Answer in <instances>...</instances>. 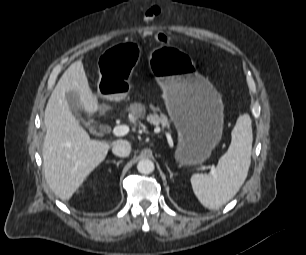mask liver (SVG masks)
I'll return each mask as SVG.
<instances>
[{
  "label": "liver",
  "instance_id": "liver-1",
  "mask_svg": "<svg viewBox=\"0 0 306 255\" xmlns=\"http://www.w3.org/2000/svg\"><path fill=\"white\" fill-rule=\"evenodd\" d=\"M76 93L82 109L93 116L100 109L82 61L71 64L54 88L44 114L46 135L43 165L48 185L61 200H69L107 156L108 142L91 140L73 116L66 93ZM114 144V143H113Z\"/></svg>",
  "mask_w": 306,
  "mask_h": 255
}]
</instances>
